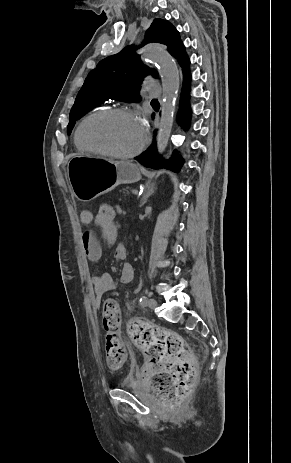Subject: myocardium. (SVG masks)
Instances as JSON below:
<instances>
[{
	"instance_id": "obj_1",
	"label": "myocardium",
	"mask_w": 291,
	"mask_h": 463,
	"mask_svg": "<svg viewBox=\"0 0 291 463\" xmlns=\"http://www.w3.org/2000/svg\"><path fill=\"white\" fill-rule=\"evenodd\" d=\"M111 116H125V117L132 118L139 122V119L136 113L126 108H111V109L100 110V111L94 112L90 114L89 116H87L77 128V139L79 143L83 146L84 149L90 152L105 155V156L112 157V158L129 159V158L138 156L144 150L148 142V134L146 130L143 131V138L139 146L131 152L119 153V152L110 151L102 147L94 146L86 140L84 136V129L91 120L95 118H106V117H111Z\"/></svg>"
}]
</instances>
